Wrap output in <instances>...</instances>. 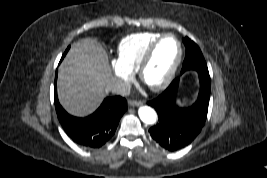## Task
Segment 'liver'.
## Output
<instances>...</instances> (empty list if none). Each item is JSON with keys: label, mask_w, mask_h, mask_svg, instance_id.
<instances>
[{"label": "liver", "mask_w": 267, "mask_h": 178, "mask_svg": "<svg viewBox=\"0 0 267 178\" xmlns=\"http://www.w3.org/2000/svg\"><path fill=\"white\" fill-rule=\"evenodd\" d=\"M113 80L104 48L93 38H83L72 44L59 67V101L72 115H88L99 106Z\"/></svg>", "instance_id": "liver-1"}]
</instances>
